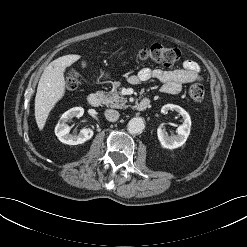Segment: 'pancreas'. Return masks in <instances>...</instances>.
I'll return each mask as SVG.
<instances>
[{
    "instance_id": "pancreas-1",
    "label": "pancreas",
    "mask_w": 247,
    "mask_h": 247,
    "mask_svg": "<svg viewBox=\"0 0 247 247\" xmlns=\"http://www.w3.org/2000/svg\"><path fill=\"white\" fill-rule=\"evenodd\" d=\"M119 85V83L115 84L113 89L108 93L103 91L98 92L103 104L117 109L126 108L127 100L121 95V92L117 90Z\"/></svg>"
}]
</instances>
